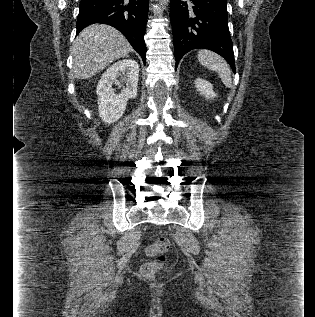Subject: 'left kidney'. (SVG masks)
Here are the masks:
<instances>
[{"label": "left kidney", "mask_w": 315, "mask_h": 317, "mask_svg": "<svg viewBox=\"0 0 315 317\" xmlns=\"http://www.w3.org/2000/svg\"><path fill=\"white\" fill-rule=\"evenodd\" d=\"M195 87L197 91L207 99H213L217 96L213 91V85L209 81L197 78L195 80Z\"/></svg>", "instance_id": "1"}]
</instances>
